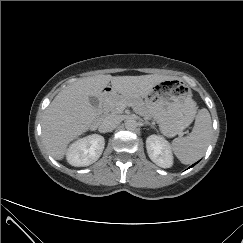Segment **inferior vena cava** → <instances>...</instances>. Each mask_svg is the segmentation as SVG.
Masks as SVG:
<instances>
[{"label": "inferior vena cava", "mask_w": 243, "mask_h": 243, "mask_svg": "<svg viewBox=\"0 0 243 243\" xmlns=\"http://www.w3.org/2000/svg\"><path fill=\"white\" fill-rule=\"evenodd\" d=\"M119 123L120 121L117 116L108 115L102 120L100 128L103 132H110L114 130Z\"/></svg>", "instance_id": "obj_1"}]
</instances>
